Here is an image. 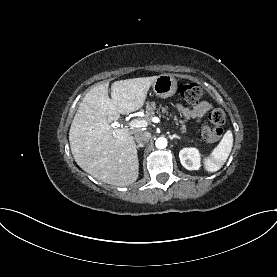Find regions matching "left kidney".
<instances>
[{"mask_svg": "<svg viewBox=\"0 0 277 277\" xmlns=\"http://www.w3.org/2000/svg\"><path fill=\"white\" fill-rule=\"evenodd\" d=\"M179 158L182 166L188 170H199L201 167L200 153L196 148H183Z\"/></svg>", "mask_w": 277, "mask_h": 277, "instance_id": "5707ae66", "label": "left kidney"}]
</instances>
